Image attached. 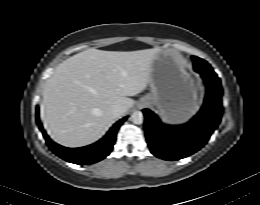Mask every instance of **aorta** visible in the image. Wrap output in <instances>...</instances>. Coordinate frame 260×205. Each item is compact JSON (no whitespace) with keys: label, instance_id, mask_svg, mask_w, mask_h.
<instances>
[{"label":"aorta","instance_id":"762f6f07","mask_svg":"<svg viewBox=\"0 0 260 205\" xmlns=\"http://www.w3.org/2000/svg\"><path fill=\"white\" fill-rule=\"evenodd\" d=\"M130 120L137 125L143 123V113L141 111H135L132 113Z\"/></svg>","mask_w":260,"mask_h":205}]
</instances>
